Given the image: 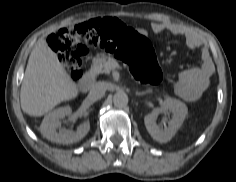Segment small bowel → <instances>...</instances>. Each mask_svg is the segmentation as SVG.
Instances as JSON below:
<instances>
[{
    "label": "small bowel",
    "mask_w": 236,
    "mask_h": 182,
    "mask_svg": "<svg viewBox=\"0 0 236 182\" xmlns=\"http://www.w3.org/2000/svg\"><path fill=\"white\" fill-rule=\"evenodd\" d=\"M151 29L155 34L169 32L183 36L188 48L200 49L201 65L180 72L175 86L177 94L185 101L198 100L207 90L214 73V65L207 49L203 47L202 40L194 32L173 23L154 22Z\"/></svg>",
    "instance_id": "c3829d8e"
}]
</instances>
